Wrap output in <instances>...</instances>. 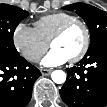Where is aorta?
I'll return each instance as SVG.
<instances>
[{"label":"aorta","mask_w":107,"mask_h":107,"mask_svg":"<svg viewBox=\"0 0 107 107\" xmlns=\"http://www.w3.org/2000/svg\"><path fill=\"white\" fill-rule=\"evenodd\" d=\"M51 78L56 84H62L66 81V73L62 70H55L52 72Z\"/></svg>","instance_id":"obj_1"}]
</instances>
